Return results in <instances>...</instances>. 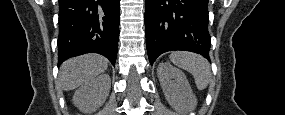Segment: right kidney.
<instances>
[{
    "label": "right kidney",
    "instance_id": "right-kidney-1",
    "mask_svg": "<svg viewBox=\"0 0 285 115\" xmlns=\"http://www.w3.org/2000/svg\"><path fill=\"white\" fill-rule=\"evenodd\" d=\"M111 87V78L102 74L85 82L75 91L73 104L84 112L97 110L106 100Z\"/></svg>",
    "mask_w": 285,
    "mask_h": 115
}]
</instances>
